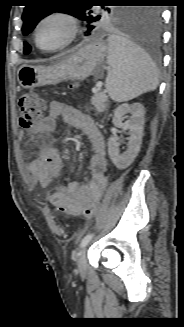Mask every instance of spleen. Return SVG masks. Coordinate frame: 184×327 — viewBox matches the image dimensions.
Listing matches in <instances>:
<instances>
[{
	"mask_svg": "<svg viewBox=\"0 0 184 327\" xmlns=\"http://www.w3.org/2000/svg\"><path fill=\"white\" fill-rule=\"evenodd\" d=\"M106 90L115 102L131 100L157 88L158 72L151 58L119 35H109Z\"/></svg>",
	"mask_w": 184,
	"mask_h": 327,
	"instance_id": "spleen-1",
	"label": "spleen"
}]
</instances>
